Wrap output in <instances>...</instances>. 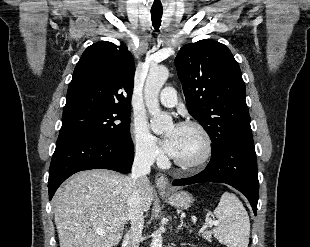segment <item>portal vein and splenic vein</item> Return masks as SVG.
Segmentation results:
<instances>
[{"instance_id": "portal-vein-and-splenic-vein-1", "label": "portal vein and splenic vein", "mask_w": 310, "mask_h": 247, "mask_svg": "<svg viewBox=\"0 0 310 247\" xmlns=\"http://www.w3.org/2000/svg\"><path fill=\"white\" fill-rule=\"evenodd\" d=\"M214 224H217V221H213V220H209V226H212V225H214ZM201 232V231H200ZM97 234H99V235H103L104 234V231H102V230H97Z\"/></svg>"}]
</instances>
